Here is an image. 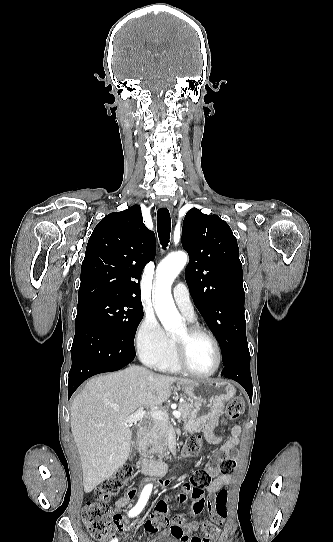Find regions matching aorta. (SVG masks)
I'll list each match as a JSON object with an SVG mask.
<instances>
[{
	"label": "aorta",
	"instance_id": "aorta-1",
	"mask_svg": "<svg viewBox=\"0 0 333 542\" xmlns=\"http://www.w3.org/2000/svg\"><path fill=\"white\" fill-rule=\"evenodd\" d=\"M187 262L184 252L169 254L163 262H160L156 272V286L154 290L155 312L166 332H174L183 328L182 316H180L172 298L171 286L183 270Z\"/></svg>",
	"mask_w": 333,
	"mask_h": 542
}]
</instances>
